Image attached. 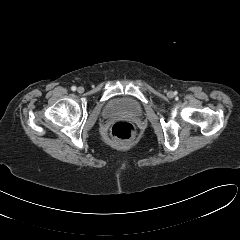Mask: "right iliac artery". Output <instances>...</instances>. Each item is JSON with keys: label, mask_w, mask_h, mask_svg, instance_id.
Returning <instances> with one entry per match:
<instances>
[{"label": "right iliac artery", "mask_w": 240, "mask_h": 240, "mask_svg": "<svg viewBox=\"0 0 240 240\" xmlns=\"http://www.w3.org/2000/svg\"><path fill=\"white\" fill-rule=\"evenodd\" d=\"M71 90H72V91H76V86H72V87H71Z\"/></svg>", "instance_id": "1"}]
</instances>
